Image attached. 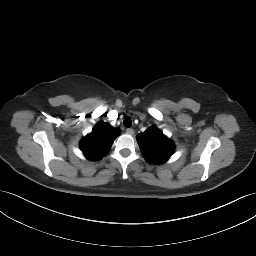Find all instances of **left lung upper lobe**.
Instances as JSON below:
<instances>
[{"mask_svg":"<svg viewBox=\"0 0 256 256\" xmlns=\"http://www.w3.org/2000/svg\"><path fill=\"white\" fill-rule=\"evenodd\" d=\"M137 141L144 156L152 163L160 164L174 152V144L155 127L137 135Z\"/></svg>","mask_w":256,"mask_h":256,"instance_id":"obj_1","label":"left lung upper lobe"}]
</instances>
